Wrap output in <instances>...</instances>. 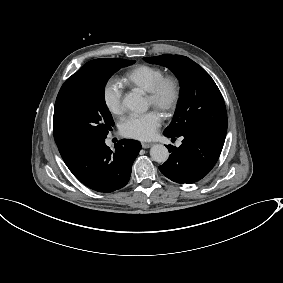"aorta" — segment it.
Returning a JSON list of instances; mask_svg holds the SVG:
<instances>
[{
  "label": "aorta",
  "instance_id": "aorta-1",
  "mask_svg": "<svg viewBox=\"0 0 283 283\" xmlns=\"http://www.w3.org/2000/svg\"><path fill=\"white\" fill-rule=\"evenodd\" d=\"M123 104L126 108L136 113H143L148 108L146 101L136 93L127 94L123 99ZM150 156L154 161L164 163L169 157V151L164 145L156 144L151 147Z\"/></svg>",
  "mask_w": 283,
  "mask_h": 283
}]
</instances>
